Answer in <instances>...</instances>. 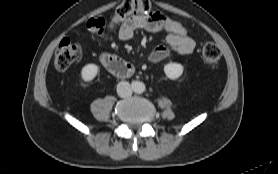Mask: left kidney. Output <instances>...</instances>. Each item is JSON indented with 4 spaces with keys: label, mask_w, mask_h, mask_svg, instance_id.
<instances>
[{
    "label": "left kidney",
    "mask_w": 278,
    "mask_h": 174,
    "mask_svg": "<svg viewBox=\"0 0 278 174\" xmlns=\"http://www.w3.org/2000/svg\"><path fill=\"white\" fill-rule=\"evenodd\" d=\"M166 76L171 80L178 79L183 73V66L179 63H168L164 66Z\"/></svg>",
    "instance_id": "5707ae66"
}]
</instances>
